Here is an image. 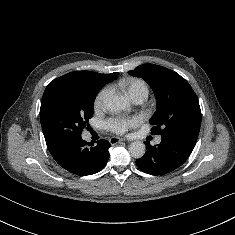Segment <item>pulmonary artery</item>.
<instances>
[{
    "label": "pulmonary artery",
    "mask_w": 235,
    "mask_h": 235,
    "mask_svg": "<svg viewBox=\"0 0 235 235\" xmlns=\"http://www.w3.org/2000/svg\"><path fill=\"white\" fill-rule=\"evenodd\" d=\"M146 98H147V95L139 94V95H136L135 97H133L132 99L135 103L140 104L143 101H145ZM155 141H156V143H160L161 142V137H157Z\"/></svg>",
    "instance_id": "obj_1"
}]
</instances>
